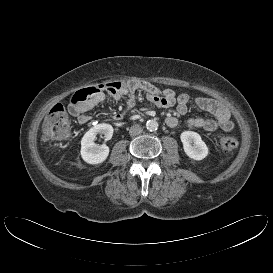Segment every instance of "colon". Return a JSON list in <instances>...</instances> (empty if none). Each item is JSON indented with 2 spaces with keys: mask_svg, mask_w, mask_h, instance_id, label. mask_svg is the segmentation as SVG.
Wrapping results in <instances>:
<instances>
[{
  "mask_svg": "<svg viewBox=\"0 0 273 273\" xmlns=\"http://www.w3.org/2000/svg\"><path fill=\"white\" fill-rule=\"evenodd\" d=\"M122 84L119 82L109 83L106 86L112 88H118ZM98 87H86L78 90L72 97V103H80L89 99ZM72 122L66 112L65 108L61 104L54 105L43 122V138L46 141H62L69 137L71 133ZM218 145L225 151L235 150L239 143L237 139L231 136L221 135L218 138Z\"/></svg>",
  "mask_w": 273,
  "mask_h": 273,
  "instance_id": "1",
  "label": "colon"
}]
</instances>
